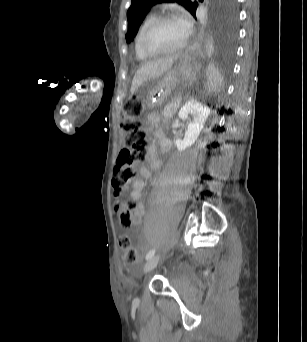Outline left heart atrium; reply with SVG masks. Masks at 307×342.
<instances>
[{
	"label": "left heart atrium",
	"mask_w": 307,
	"mask_h": 342,
	"mask_svg": "<svg viewBox=\"0 0 307 342\" xmlns=\"http://www.w3.org/2000/svg\"><path fill=\"white\" fill-rule=\"evenodd\" d=\"M180 25H181V28H182V31H183L184 35L186 37L190 36L191 33H192V25H191V23L187 19H183Z\"/></svg>",
	"instance_id": "obj_1"
}]
</instances>
